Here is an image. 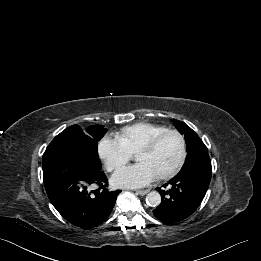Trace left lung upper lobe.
Here are the masks:
<instances>
[{
	"mask_svg": "<svg viewBox=\"0 0 261 261\" xmlns=\"http://www.w3.org/2000/svg\"><path fill=\"white\" fill-rule=\"evenodd\" d=\"M174 124L179 129L180 133L184 134L186 141L188 154L181 169L184 170L190 167L197 158L207 154L208 150L199 136L187 124L178 120H175Z\"/></svg>",
	"mask_w": 261,
	"mask_h": 261,
	"instance_id": "5c2ea615",
	"label": "left lung upper lobe"
}]
</instances>
